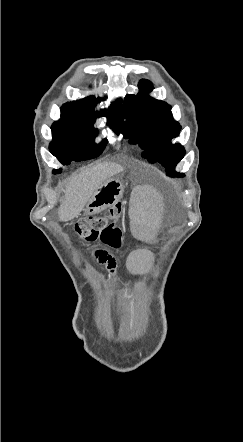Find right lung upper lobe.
<instances>
[{
  "label": "right lung upper lobe",
  "instance_id": "right-lung-upper-lobe-1",
  "mask_svg": "<svg viewBox=\"0 0 243 442\" xmlns=\"http://www.w3.org/2000/svg\"><path fill=\"white\" fill-rule=\"evenodd\" d=\"M100 100V98L95 99L94 96H89L81 100L66 103L61 107V110L88 120H95L96 117L107 116L110 124L121 128L123 122V107L120 103L121 100L119 99L116 102H113L108 109V113H106V110H101L100 112L95 113V105Z\"/></svg>",
  "mask_w": 243,
  "mask_h": 442
}]
</instances>
